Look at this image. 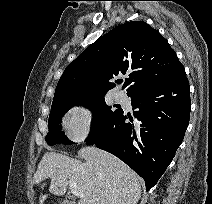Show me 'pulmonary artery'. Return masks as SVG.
<instances>
[{
	"label": "pulmonary artery",
	"instance_id": "obj_1",
	"mask_svg": "<svg viewBox=\"0 0 212 204\" xmlns=\"http://www.w3.org/2000/svg\"><path fill=\"white\" fill-rule=\"evenodd\" d=\"M114 99H115L116 101H124V100H125V95H124L123 92L117 91V92H115V94H114Z\"/></svg>",
	"mask_w": 212,
	"mask_h": 204
}]
</instances>
